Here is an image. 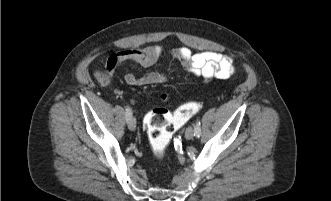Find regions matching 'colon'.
Wrapping results in <instances>:
<instances>
[{"instance_id": "colon-1", "label": "colon", "mask_w": 331, "mask_h": 201, "mask_svg": "<svg viewBox=\"0 0 331 201\" xmlns=\"http://www.w3.org/2000/svg\"><path fill=\"white\" fill-rule=\"evenodd\" d=\"M103 85L109 83V76L101 73L98 76ZM199 109L196 102H188L179 107L174 113L164 108H156L145 116V126L148 132L153 153L162 157L168 148L174 132L184 124Z\"/></svg>"}]
</instances>
